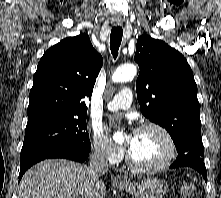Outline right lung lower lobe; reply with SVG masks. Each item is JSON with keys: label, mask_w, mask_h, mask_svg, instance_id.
<instances>
[{"label": "right lung lower lobe", "mask_w": 221, "mask_h": 198, "mask_svg": "<svg viewBox=\"0 0 221 198\" xmlns=\"http://www.w3.org/2000/svg\"><path fill=\"white\" fill-rule=\"evenodd\" d=\"M89 152L70 146H51L38 150L24 159L20 160L19 180L25 171L39 161L49 158H65L77 162H84L88 158Z\"/></svg>", "instance_id": "1"}]
</instances>
